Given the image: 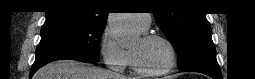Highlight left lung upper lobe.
Masks as SVG:
<instances>
[{
  "instance_id": "1",
  "label": "left lung upper lobe",
  "mask_w": 255,
  "mask_h": 79,
  "mask_svg": "<svg viewBox=\"0 0 255 79\" xmlns=\"http://www.w3.org/2000/svg\"><path fill=\"white\" fill-rule=\"evenodd\" d=\"M161 9L154 14L156 23L175 47L179 69L201 62H217L211 27L204 13L167 11L169 1H158Z\"/></svg>"
}]
</instances>
